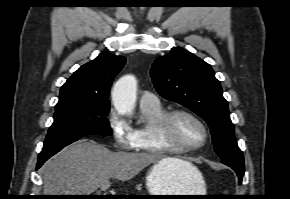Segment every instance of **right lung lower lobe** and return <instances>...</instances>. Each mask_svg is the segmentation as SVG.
Returning <instances> with one entry per match:
<instances>
[{
	"instance_id": "1",
	"label": "right lung lower lobe",
	"mask_w": 290,
	"mask_h": 199,
	"mask_svg": "<svg viewBox=\"0 0 290 199\" xmlns=\"http://www.w3.org/2000/svg\"><path fill=\"white\" fill-rule=\"evenodd\" d=\"M62 149V148H61ZM61 149H57L54 151H47V152H41L38 156V162H37V168L39 169L42 164L49 159L51 156H53L54 154H56L58 151H60Z\"/></svg>"
}]
</instances>
